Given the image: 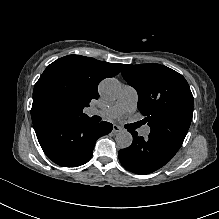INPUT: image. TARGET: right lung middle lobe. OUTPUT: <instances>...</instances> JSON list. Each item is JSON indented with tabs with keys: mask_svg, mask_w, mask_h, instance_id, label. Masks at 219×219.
I'll list each match as a JSON object with an SVG mask.
<instances>
[{
	"mask_svg": "<svg viewBox=\"0 0 219 219\" xmlns=\"http://www.w3.org/2000/svg\"><path fill=\"white\" fill-rule=\"evenodd\" d=\"M49 105L53 111H58L61 108L62 102L59 98L53 97L50 100Z\"/></svg>",
	"mask_w": 219,
	"mask_h": 219,
	"instance_id": "right-lung-middle-lobe-1",
	"label": "right lung middle lobe"
}]
</instances>
